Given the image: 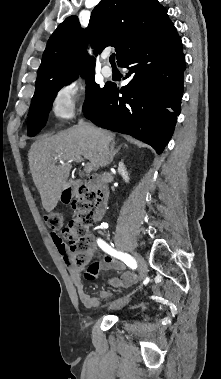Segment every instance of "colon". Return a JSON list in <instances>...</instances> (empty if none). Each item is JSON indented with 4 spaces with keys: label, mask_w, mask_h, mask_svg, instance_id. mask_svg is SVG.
Wrapping results in <instances>:
<instances>
[{
    "label": "colon",
    "mask_w": 221,
    "mask_h": 379,
    "mask_svg": "<svg viewBox=\"0 0 221 379\" xmlns=\"http://www.w3.org/2000/svg\"><path fill=\"white\" fill-rule=\"evenodd\" d=\"M95 200V192L84 190L72 203L75 216L69 225L62 230L63 238L69 244L72 253V261L81 270L88 264H94L89 262V259L98 257V253L93 250V238L89 231L94 220L92 208ZM43 218L52 235L58 237L61 244L65 246L63 240L57 236V232L62 228V216L59 213L51 212L45 214Z\"/></svg>",
    "instance_id": "obj_1"
}]
</instances>
